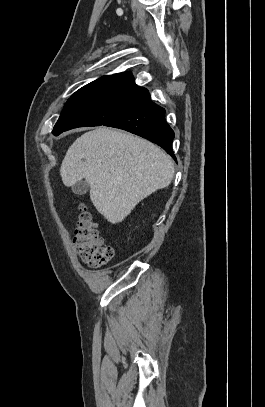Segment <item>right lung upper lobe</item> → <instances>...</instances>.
<instances>
[{
	"mask_svg": "<svg viewBox=\"0 0 265 407\" xmlns=\"http://www.w3.org/2000/svg\"><path fill=\"white\" fill-rule=\"evenodd\" d=\"M104 77L134 82V78L130 72H123V73L108 75V76H104Z\"/></svg>",
	"mask_w": 265,
	"mask_h": 407,
	"instance_id": "cb5924a9",
	"label": "right lung upper lobe"
}]
</instances>
